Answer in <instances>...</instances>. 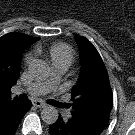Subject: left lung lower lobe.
Returning <instances> with one entry per match:
<instances>
[{"label":"left lung lower lobe","mask_w":135,"mask_h":135,"mask_svg":"<svg viewBox=\"0 0 135 135\" xmlns=\"http://www.w3.org/2000/svg\"><path fill=\"white\" fill-rule=\"evenodd\" d=\"M102 131L84 121L74 118L67 121L63 120L61 116L49 128L50 135H99Z\"/></svg>","instance_id":"0a47b994"}]
</instances>
